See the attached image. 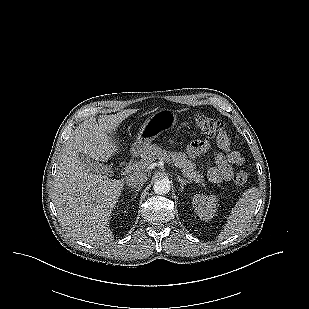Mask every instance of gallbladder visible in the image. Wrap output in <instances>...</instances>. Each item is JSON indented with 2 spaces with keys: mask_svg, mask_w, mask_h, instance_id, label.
I'll use <instances>...</instances> for the list:
<instances>
[{
  "mask_svg": "<svg viewBox=\"0 0 309 309\" xmlns=\"http://www.w3.org/2000/svg\"><path fill=\"white\" fill-rule=\"evenodd\" d=\"M79 160L85 166V168L91 172H94V173H108L109 172L108 167L100 163L93 162L88 156L80 154Z\"/></svg>",
  "mask_w": 309,
  "mask_h": 309,
  "instance_id": "obj_1",
  "label": "gallbladder"
}]
</instances>
